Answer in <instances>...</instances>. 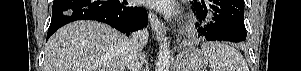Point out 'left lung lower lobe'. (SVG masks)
<instances>
[{"label": "left lung lower lobe", "mask_w": 301, "mask_h": 71, "mask_svg": "<svg viewBox=\"0 0 301 71\" xmlns=\"http://www.w3.org/2000/svg\"><path fill=\"white\" fill-rule=\"evenodd\" d=\"M192 5L201 21H209L198 29L199 36L203 35L208 41L236 43L246 39L244 0H194Z\"/></svg>", "instance_id": "obj_1"}]
</instances>
